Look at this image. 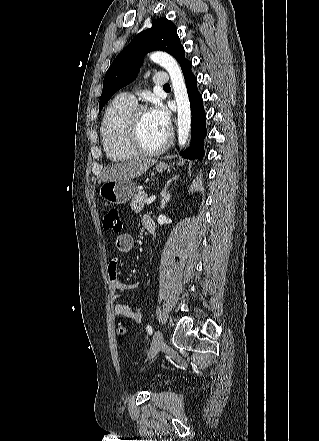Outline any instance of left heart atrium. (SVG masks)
<instances>
[{"mask_svg":"<svg viewBox=\"0 0 319 441\" xmlns=\"http://www.w3.org/2000/svg\"><path fill=\"white\" fill-rule=\"evenodd\" d=\"M150 115L153 118L154 122L158 125V127L168 133L170 129V117L167 110L161 106L156 105L151 111Z\"/></svg>","mask_w":319,"mask_h":441,"instance_id":"39dd6f15","label":"left heart atrium"}]
</instances>
